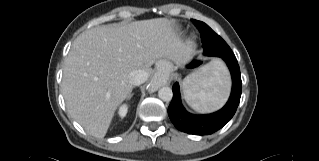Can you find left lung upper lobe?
I'll use <instances>...</instances> for the list:
<instances>
[{"mask_svg": "<svg viewBox=\"0 0 319 161\" xmlns=\"http://www.w3.org/2000/svg\"><path fill=\"white\" fill-rule=\"evenodd\" d=\"M192 22L200 31L205 55L221 57L226 53H233L230 47L219 35H217L214 31H212V33H208L207 30L210 28L208 25L197 20H192Z\"/></svg>", "mask_w": 319, "mask_h": 161, "instance_id": "left-lung-upper-lobe-1", "label": "left lung upper lobe"}]
</instances>
